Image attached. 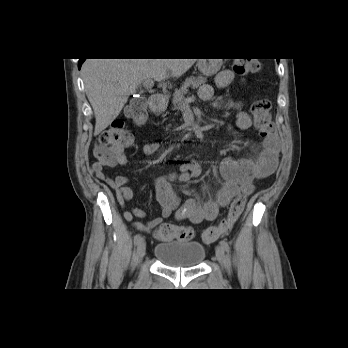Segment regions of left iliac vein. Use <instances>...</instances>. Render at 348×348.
Returning a JSON list of instances; mask_svg holds the SVG:
<instances>
[{"label": "left iliac vein", "instance_id": "obj_1", "mask_svg": "<svg viewBox=\"0 0 348 348\" xmlns=\"http://www.w3.org/2000/svg\"><path fill=\"white\" fill-rule=\"evenodd\" d=\"M216 257H217V260L219 261V263L222 266H224L226 263V255H225L224 249L222 248L221 245H218L216 247Z\"/></svg>", "mask_w": 348, "mask_h": 348}]
</instances>
